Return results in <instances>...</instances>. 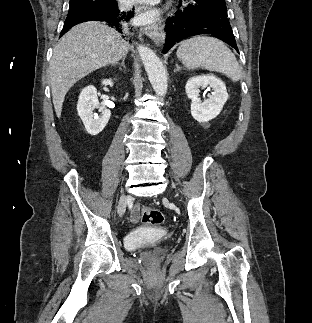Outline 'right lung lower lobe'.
<instances>
[{
  "label": "right lung lower lobe",
  "instance_id": "right-lung-lower-lobe-1",
  "mask_svg": "<svg viewBox=\"0 0 312 323\" xmlns=\"http://www.w3.org/2000/svg\"><path fill=\"white\" fill-rule=\"evenodd\" d=\"M132 17L133 11H120L117 2L114 0H107L87 7H78L69 11L60 36L72 26L86 21H104L121 33L123 30L130 31Z\"/></svg>",
  "mask_w": 312,
  "mask_h": 323
}]
</instances>
